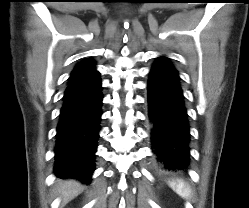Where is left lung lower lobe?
<instances>
[{"label":"left lung lower lobe","mask_w":249,"mask_h":208,"mask_svg":"<svg viewBox=\"0 0 249 208\" xmlns=\"http://www.w3.org/2000/svg\"><path fill=\"white\" fill-rule=\"evenodd\" d=\"M148 124L159 169L185 171L190 133L180 78L166 57L156 59L148 81Z\"/></svg>","instance_id":"0a47b994"}]
</instances>
